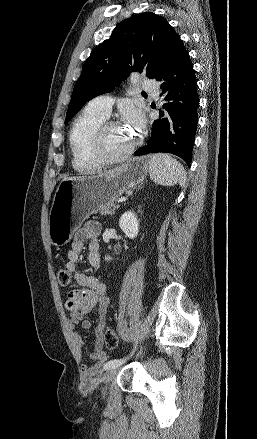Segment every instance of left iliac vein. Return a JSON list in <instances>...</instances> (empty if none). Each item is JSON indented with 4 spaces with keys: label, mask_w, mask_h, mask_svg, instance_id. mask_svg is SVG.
Listing matches in <instances>:
<instances>
[{
    "label": "left iliac vein",
    "mask_w": 257,
    "mask_h": 439,
    "mask_svg": "<svg viewBox=\"0 0 257 439\" xmlns=\"http://www.w3.org/2000/svg\"><path fill=\"white\" fill-rule=\"evenodd\" d=\"M119 365L108 369L103 377H102V387H101V392L103 395L106 394L107 389H108V384L112 381V379L115 377L116 373H117V368Z\"/></svg>",
    "instance_id": "1"
}]
</instances>
